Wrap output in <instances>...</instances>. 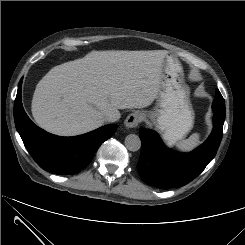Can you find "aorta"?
<instances>
[{"instance_id": "1", "label": "aorta", "mask_w": 245, "mask_h": 245, "mask_svg": "<svg viewBox=\"0 0 245 245\" xmlns=\"http://www.w3.org/2000/svg\"><path fill=\"white\" fill-rule=\"evenodd\" d=\"M125 146L129 151L135 152L141 148V140L135 134H129L125 138Z\"/></svg>"}]
</instances>
